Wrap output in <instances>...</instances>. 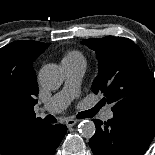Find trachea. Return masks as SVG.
I'll return each instance as SVG.
<instances>
[{"mask_svg":"<svg viewBox=\"0 0 155 155\" xmlns=\"http://www.w3.org/2000/svg\"><path fill=\"white\" fill-rule=\"evenodd\" d=\"M44 120L49 123H55L57 121L56 118L52 115L46 116Z\"/></svg>","mask_w":155,"mask_h":155,"instance_id":"trachea-1","label":"trachea"}]
</instances>
